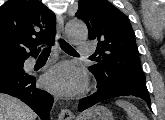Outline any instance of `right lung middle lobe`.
<instances>
[{"label":"right lung middle lobe","mask_w":165,"mask_h":120,"mask_svg":"<svg viewBox=\"0 0 165 120\" xmlns=\"http://www.w3.org/2000/svg\"><path fill=\"white\" fill-rule=\"evenodd\" d=\"M23 61L0 63V71H12L23 68Z\"/></svg>","instance_id":"obj_1"}]
</instances>
